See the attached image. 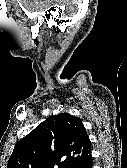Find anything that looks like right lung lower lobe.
Here are the masks:
<instances>
[{
	"label": "right lung lower lobe",
	"mask_w": 127,
	"mask_h": 168,
	"mask_svg": "<svg viewBox=\"0 0 127 168\" xmlns=\"http://www.w3.org/2000/svg\"><path fill=\"white\" fill-rule=\"evenodd\" d=\"M75 168H92V157H89L87 160L81 164L75 166Z\"/></svg>",
	"instance_id": "98d812e1"
}]
</instances>
